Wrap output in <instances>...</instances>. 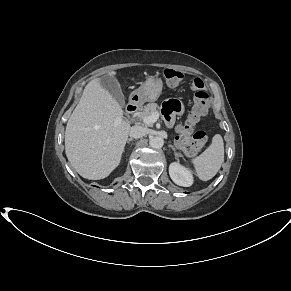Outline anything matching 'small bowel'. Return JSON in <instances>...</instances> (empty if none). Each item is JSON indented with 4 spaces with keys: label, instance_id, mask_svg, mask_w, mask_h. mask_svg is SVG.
<instances>
[{
    "label": "small bowel",
    "instance_id": "small-bowel-1",
    "mask_svg": "<svg viewBox=\"0 0 291 291\" xmlns=\"http://www.w3.org/2000/svg\"><path fill=\"white\" fill-rule=\"evenodd\" d=\"M178 111H180V106H177L175 101H170L165 109L168 120L171 121L172 114Z\"/></svg>",
    "mask_w": 291,
    "mask_h": 291
}]
</instances>
